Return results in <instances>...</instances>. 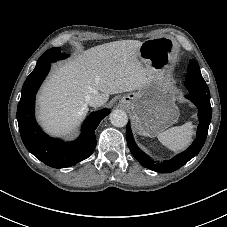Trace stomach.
I'll return each mask as SVG.
<instances>
[{
  "label": "stomach",
  "instance_id": "stomach-1",
  "mask_svg": "<svg viewBox=\"0 0 227 227\" xmlns=\"http://www.w3.org/2000/svg\"><path fill=\"white\" fill-rule=\"evenodd\" d=\"M173 56L172 44L161 39L146 40L139 48L138 58L153 70V77L137 92L123 96L122 103L132 112L135 130L141 135L154 137L178 120L175 92L165 80Z\"/></svg>",
  "mask_w": 227,
  "mask_h": 227
}]
</instances>
